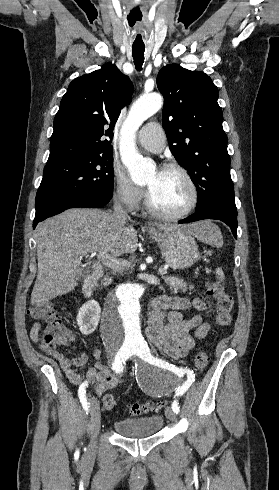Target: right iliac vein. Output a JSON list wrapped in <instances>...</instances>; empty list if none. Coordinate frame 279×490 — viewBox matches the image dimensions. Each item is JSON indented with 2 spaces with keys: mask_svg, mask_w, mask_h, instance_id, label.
I'll return each instance as SVG.
<instances>
[{
  "mask_svg": "<svg viewBox=\"0 0 279 490\" xmlns=\"http://www.w3.org/2000/svg\"><path fill=\"white\" fill-rule=\"evenodd\" d=\"M89 404H90V426L92 430V440L89 444V454L95 453L96 452V435L98 434L100 430V424H101V413H100V406L99 402L96 397H91L89 399Z\"/></svg>",
  "mask_w": 279,
  "mask_h": 490,
  "instance_id": "63e3f726",
  "label": "right iliac vein"
}]
</instances>
